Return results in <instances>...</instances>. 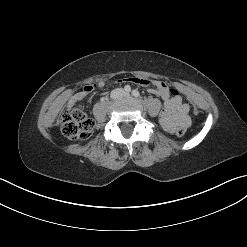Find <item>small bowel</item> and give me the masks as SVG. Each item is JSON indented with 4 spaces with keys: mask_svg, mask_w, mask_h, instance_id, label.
<instances>
[{
    "mask_svg": "<svg viewBox=\"0 0 247 247\" xmlns=\"http://www.w3.org/2000/svg\"><path fill=\"white\" fill-rule=\"evenodd\" d=\"M129 81L141 86H150L149 92L161 96L164 102V108L160 114V123L168 133H174L176 128L183 126L189 127L191 119L189 117L190 107L184 103L179 96H173L169 92L168 86L164 82L150 81L146 78L132 77ZM105 82L86 85L81 91L71 96L67 102V108L70 110L76 103L86 98L97 87H104Z\"/></svg>",
    "mask_w": 247,
    "mask_h": 247,
    "instance_id": "obj_1",
    "label": "small bowel"
}]
</instances>
